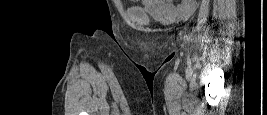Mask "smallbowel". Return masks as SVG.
I'll list each match as a JSON object with an SVG mask.
<instances>
[{
    "label": "small bowel",
    "instance_id": "1",
    "mask_svg": "<svg viewBox=\"0 0 267 115\" xmlns=\"http://www.w3.org/2000/svg\"><path fill=\"white\" fill-rule=\"evenodd\" d=\"M142 5L149 14L161 19L186 18L196 6L194 1L175 6L166 0H143Z\"/></svg>",
    "mask_w": 267,
    "mask_h": 115
}]
</instances>
